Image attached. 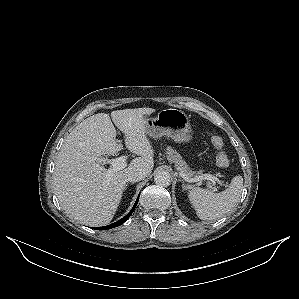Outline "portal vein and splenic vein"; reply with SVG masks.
I'll list each match as a JSON object with an SVG mask.
<instances>
[{
  "mask_svg": "<svg viewBox=\"0 0 299 299\" xmlns=\"http://www.w3.org/2000/svg\"><path fill=\"white\" fill-rule=\"evenodd\" d=\"M103 163H110L111 167L108 169V173L111 174L113 172L119 171L124 169L127 166V156H120L115 159H101ZM179 175L186 181V182H198L202 180H210L211 182L215 183L216 178L210 174H205L202 176H196L193 178L188 177L186 174L179 172Z\"/></svg>",
  "mask_w": 299,
  "mask_h": 299,
  "instance_id": "obj_1",
  "label": "portal vein and splenic vein"
}]
</instances>
